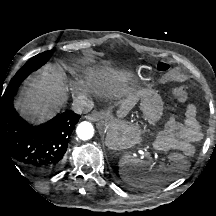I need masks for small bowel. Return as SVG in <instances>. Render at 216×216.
I'll list each match as a JSON object with an SVG mask.
<instances>
[{"label": "small bowel", "instance_id": "c3829d8e", "mask_svg": "<svg viewBox=\"0 0 216 216\" xmlns=\"http://www.w3.org/2000/svg\"><path fill=\"white\" fill-rule=\"evenodd\" d=\"M196 116L197 110L192 104L186 106L183 121L170 116L163 129V145L180 151L186 156H192L195 152L193 143L202 138L201 127Z\"/></svg>", "mask_w": 216, "mask_h": 216}]
</instances>
